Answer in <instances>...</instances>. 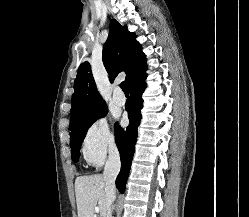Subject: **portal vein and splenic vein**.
<instances>
[{
    "label": "portal vein and splenic vein",
    "mask_w": 249,
    "mask_h": 217,
    "mask_svg": "<svg viewBox=\"0 0 249 217\" xmlns=\"http://www.w3.org/2000/svg\"><path fill=\"white\" fill-rule=\"evenodd\" d=\"M99 211H100L99 207H95V212L98 213Z\"/></svg>",
    "instance_id": "obj_1"
}]
</instances>
